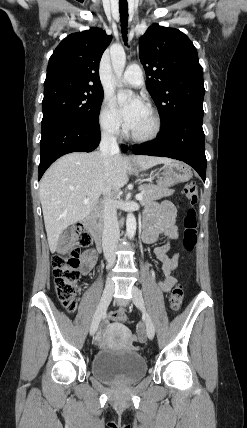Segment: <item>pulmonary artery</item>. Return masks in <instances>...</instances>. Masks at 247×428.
<instances>
[{
  "instance_id": "obj_1",
  "label": "pulmonary artery",
  "mask_w": 247,
  "mask_h": 428,
  "mask_svg": "<svg viewBox=\"0 0 247 428\" xmlns=\"http://www.w3.org/2000/svg\"><path fill=\"white\" fill-rule=\"evenodd\" d=\"M122 82L132 87H138L143 84V73L138 65H130L121 78Z\"/></svg>"
}]
</instances>
